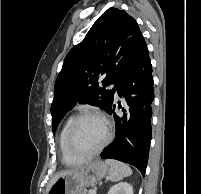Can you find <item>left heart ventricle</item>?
I'll return each instance as SVG.
<instances>
[{"label": "left heart ventricle", "mask_w": 201, "mask_h": 194, "mask_svg": "<svg viewBox=\"0 0 201 194\" xmlns=\"http://www.w3.org/2000/svg\"><path fill=\"white\" fill-rule=\"evenodd\" d=\"M105 137L104 123L98 118H86L77 127L75 145L79 151L90 153L102 144Z\"/></svg>", "instance_id": "1"}]
</instances>
